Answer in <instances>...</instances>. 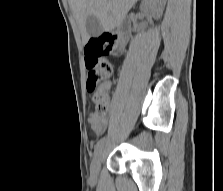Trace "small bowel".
Instances as JSON below:
<instances>
[{
	"label": "small bowel",
	"instance_id": "c3829d8e",
	"mask_svg": "<svg viewBox=\"0 0 223 191\" xmlns=\"http://www.w3.org/2000/svg\"><path fill=\"white\" fill-rule=\"evenodd\" d=\"M110 88V83H106L102 90L106 91ZM89 123L94 134L100 136L105 133L107 126L109 124V119L107 117H97L95 115H91L89 118Z\"/></svg>",
	"mask_w": 223,
	"mask_h": 191
}]
</instances>
